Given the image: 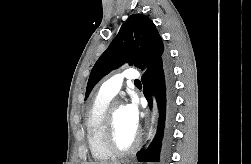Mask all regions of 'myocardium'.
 I'll list each match as a JSON object with an SVG mask.
<instances>
[{
  "label": "myocardium",
  "instance_id": "1",
  "mask_svg": "<svg viewBox=\"0 0 251 164\" xmlns=\"http://www.w3.org/2000/svg\"><path fill=\"white\" fill-rule=\"evenodd\" d=\"M120 103H113L109 106L105 119V143L114 155H127L134 152L140 144V134L136 131L133 143L128 147H121L116 139L115 109Z\"/></svg>",
  "mask_w": 251,
  "mask_h": 164
}]
</instances>
